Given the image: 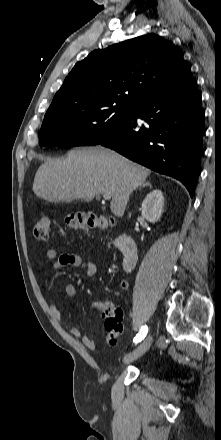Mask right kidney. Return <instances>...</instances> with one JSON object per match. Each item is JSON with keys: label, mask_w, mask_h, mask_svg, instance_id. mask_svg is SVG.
Listing matches in <instances>:
<instances>
[{"label": "right kidney", "mask_w": 221, "mask_h": 440, "mask_svg": "<svg viewBox=\"0 0 221 440\" xmlns=\"http://www.w3.org/2000/svg\"><path fill=\"white\" fill-rule=\"evenodd\" d=\"M164 198L160 190H153L148 193L142 202V216L149 222H157L163 212Z\"/></svg>", "instance_id": "right-kidney-1"}]
</instances>
